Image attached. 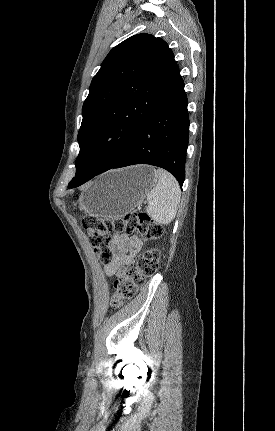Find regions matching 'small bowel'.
<instances>
[{"instance_id":"1","label":"small bowel","mask_w":275,"mask_h":431,"mask_svg":"<svg viewBox=\"0 0 275 431\" xmlns=\"http://www.w3.org/2000/svg\"><path fill=\"white\" fill-rule=\"evenodd\" d=\"M113 259L105 266L108 277L121 276L132 263V255L141 247L138 237L116 233L111 241Z\"/></svg>"}]
</instances>
